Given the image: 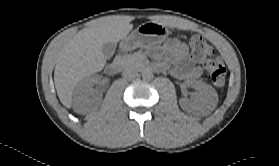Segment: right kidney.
I'll return each instance as SVG.
<instances>
[{
	"label": "right kidney",
	"mask_w": 279,
	"mask_h": 166,
	"mask_svg": "<svg viewBox=\"0 0 279 166\" xmlns=\"http://www.w3.org/2000/svg\"><path fill=\"white\" fill-rule=\"evenodd\" d=\"M100 79L98 77L88 78L84 80L75 91V99L78 104H82L86 107L94 97L92 96V87L98 84Z\"/></svg>",
	"instance_id": "ca27d5eb"
}]
</instances>
